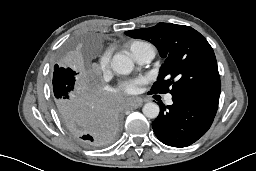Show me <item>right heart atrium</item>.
I'll use <instances>...</instances> for the list:
<instances>
[{
	"label": "right heart atrium",
	"instance_id": "1",
	"mask_svg": "<svg viewBox=\"0 0 256 171\" xmlns=\"http://www.w3.org/2000/svg\"><path fill=\"white\" fill-rule=\"evenodd\" d=\"M109 68V55L108 53H104L99 61L96 63V69L101 72L105 73Z\"/></svg>",
	"mask_w": 256,
	"mask_h": 171
}]
</instances>
